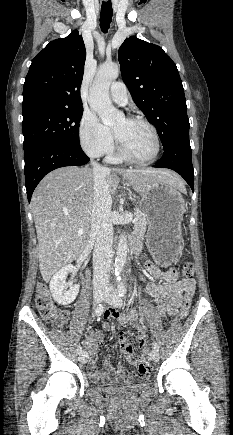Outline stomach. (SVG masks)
Listing matches in <instances>:
<instances>
[{
    "label": "stomach",
    "mask_w": 233,
    "mask_h": 435,
    "mask_svg": "<svg viewBox=\"0 0 233 435\" xmlns=\"http://www.w3.org/2000/svg\"><path fill=\"white\" fill-rule=\"evenodd\" d=\"M127 184L132 186L130 181ZM139 194L148 225V248L159 265L168 266L181 248L185 201L177 188L161 181L148 184Z\"/></svg>",
    "instance_id": "obj_1"
}]
</instances>
